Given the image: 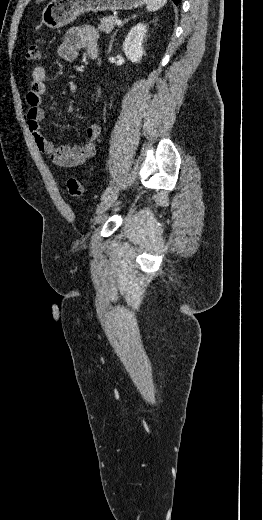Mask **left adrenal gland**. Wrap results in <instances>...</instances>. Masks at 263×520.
Instances as JSON below:
<instances>
[{"label": "left adrenal gland", "mask_w": 263, "mask_h": 520, "mask_svg": "<svg viewBox=\"0 0 263 520\" xmlns=\"http://www.w3.org/2000/svg\"><path fill=\"white\" fill-rule=\"evenodd\" d=\"M136 16H137V15H133L131 18L126 19V20L123 22V24L126 23V22H128L130 19H134V18H136ZM123 24H122L121 26H123ZM121 26H120V27H121ZM117 32H118V29L114 32V34H113L112 37H111V41H110V45H109V51H111L112 44H113V41H114V37H115V35H116Z\"/></svg>", "instance_id": "1"}]
</instances>
